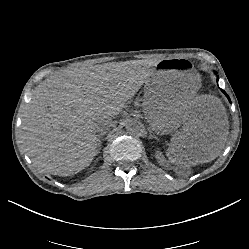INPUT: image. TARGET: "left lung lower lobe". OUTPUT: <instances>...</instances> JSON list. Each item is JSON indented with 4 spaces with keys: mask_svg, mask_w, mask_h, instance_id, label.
<instances>
[{
    "mask_svg": "<svg viewBox=\"0 0 249 249\" xmlns=\"http://www.w3.org/2000/svg\"><path fill=\"white\" fill-rule=\"evenodd\" d=\"M222 92L227 96L228 100L231 102L229 96L225 93V91L222 90Z\"/></svg>",
    "mask_w": 249,
    "mask_h": 249,
    "instance_id": "obj_1",
    "label": "left lung lower lobe"
}]
</instances>
